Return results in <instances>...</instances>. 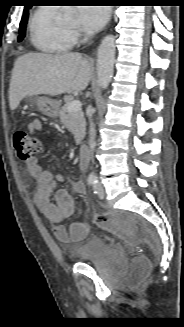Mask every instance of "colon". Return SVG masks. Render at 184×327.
<instances>
[{
    "instance_id": "5ec220e1",
    "label": "colon",
    "mask_w": 184,
    "mask_h": 327,
    "mask_svg": "<svg viewBox=\"0 0 184 327\" xmlns=\"http://www.w3.org/2000/svg\"><path fill=\"white\" fill-rule=\"evenodd\" d=\"M13 147L17 157L28 162L41 152L42 145L38 138L29 135L25 131H16L13 135ZM94 223L102 228L115 231L123 236L146 239L152 241L151 235L139 221H131L126 216L95 215ZM150 271V263L147 259L139 257L136 259L131 278L133 281H141Z\"/></svg>"
}]
</instances>
